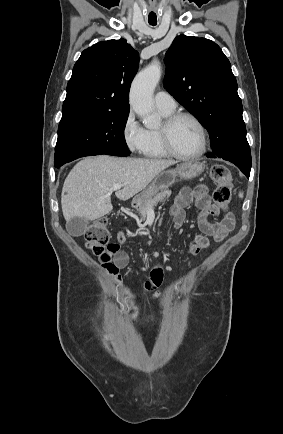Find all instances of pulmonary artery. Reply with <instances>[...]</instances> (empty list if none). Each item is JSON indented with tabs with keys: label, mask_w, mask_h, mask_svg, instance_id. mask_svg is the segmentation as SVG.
Instances as JSON below:
<instances>
[{
	"label": "pulmonary artery",
	"mask_w": 283,
	"mask_h": 434,
	"mask_svg": "<svg viewBox=\"0 0 283 434\" xmlns=\"http://www.w3.org/2000/svg\"><path fill=\"white\" fill-rule=\"evenodd\" d=\"M154 102L159 110L174 111L176 108L175 100L169 93L165 91L157 92L154 97Z\"/></svg>",
	"instance_id": "1"
}]
</instances>
